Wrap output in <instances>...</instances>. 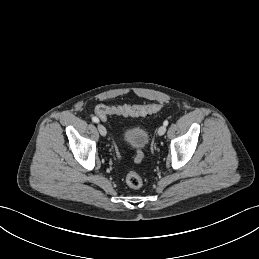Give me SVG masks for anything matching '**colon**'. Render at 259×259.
<instances>
[{
  "mask_svg": "<svg viewBox=\"0 0 259 259\" xmlns=\"http://www.w3.org/2000/svg\"><path fill=\"white\" fill-rule=\"evenodd\" d=\"M160 106L158 104H145V105H123V106H108L99 105L96 108L98 117L105 121L110 115H131L143 116L156 112ZM143 158V153L138 151L135 155V162L140 163ZM143 177L136 171H130L126 176V184L133 189H138L143 185Z\"/></svg>",
  "mask_w": 259,
  "mask_h": 259,
  "instance_id": "1",
  "label": "colon"
}]
</instances>
